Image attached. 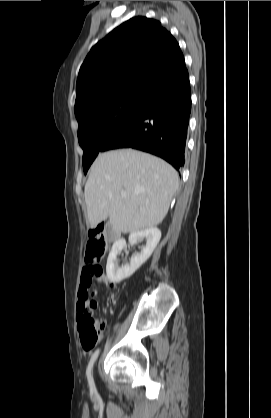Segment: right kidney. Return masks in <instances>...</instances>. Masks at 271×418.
Here are the masks:
<instances>
[{"mask_svg":"<svg viewBox=\"0 0 271 418\" xmlns=\"http://www.w3.org/2000/svg\"><path fill=\"white\" fill-rule=\"evenodd\" d=\"M161 238V231L157 227H151L137 232H133L129 236V242L136 244L138 241L145 239L146 246L142 247L141 252L131 258L130 263L122 267L116 264L117 255L126 247V241L119 239L115 241L109 253L106 265L107 277L111 282L118 283L130 277L138 268L143 265L153 253L155 247Z\"/></svg>","mask_w":271,"mask_h":418,"instance_id":"1","label":"right kidney"}]
</instances>
